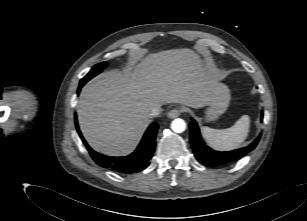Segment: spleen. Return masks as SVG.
Listing matches in <instances>:
<instances>
[{"label": "spleen", "instance_id": "1", "mask_svg": "<svg viewBox=\"0 0 307 221\" xmlns=\"http://www.w3.org/2000/svg\"><path fill=\"white\" fill-rule=\"evenodd\" d=\"M250 128V117L243 115L227 129L202 127L201 132L207 143L214 149L228 151L237 148L247 138Z\"/></svg>", "mask_w": 307, "mask_h": 221}]
</instances>
